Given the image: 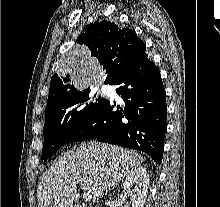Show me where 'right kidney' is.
Masks as SVG:
<instances>
[{
  "instance_id": "1",
  "label": "right kidney",
  "mask_w": 220,
  "mask_h": 207,
  "mask_svg": "<svg viewBox=\"0 0 220 207\" xmlns=\"http://www.w3.org/2000/svg\"><path fill=\"white\" fill-rule=\"evenodd\" d=\"M148 186L149 175L145 168H135L126 177L123 184V189L130 197L132 207H144L148 193Z\"/></svg>"
}]
</instances>
